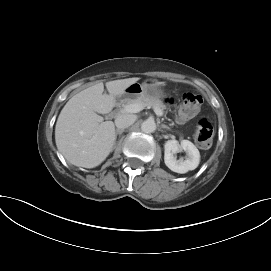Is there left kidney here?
I'll use <instances>...</instances> for the list:
<instances>
[{
	"mask_svg": "<svg viewBox=\"0 0 271 271\" xmlns=\"http://www.w3.org/2000/svg\"><path fill=\"white\" fill-rule=\"evenodd\" d=\"M164 149V162L173 172L183 174L196 169L199 165V150L188 140H182L181 144L176 140H168L164 145ZM180 150H184L186 152L187 157L185 160L176 159L175 154Z\"/></svg>",
	"mask_w": 271,
	"mask_h": 271,
	"instance_id": "left-kidney-1",
	"label": "left kidney"
}]
</instances>
